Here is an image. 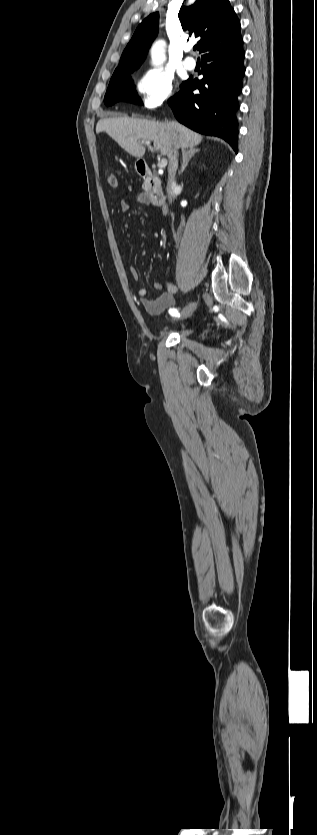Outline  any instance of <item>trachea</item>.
Listing matches in <instances>:
<instances>
[{"instance_id":"1","label":"trachea","mask_w":317,"mask_h":835,"mask_svg":"<svg viewBox=\"0 0 317 835\" xmlns=\"http://www.w3.org/2000/svg\"><path fill=\"white\" fill-rule=\"evenodd\" d=\"M196 49H197V46H194V47H193V50H196Z\"/></svg>"}]
</instances>
